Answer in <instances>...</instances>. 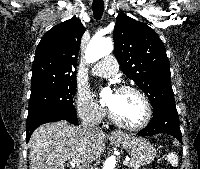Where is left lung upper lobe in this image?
I'll return each instance as SVG.
<instances>
[{"label":"left lung upper lobe","instance_id":"5c2ea615","mask_svg":"<svg viewBox=\"0 0 200 169\" xmlns=\"http://www.w3.org/2000/svg\"><path fill=\"white\" fill-rule=\"evenodd\" d=\"M113 38L121 71L148 96L153 109L175 106L165 46L155 31L120 13Z\"/></svg>","mask_w":200,"mask_h":169}]
</instances>
